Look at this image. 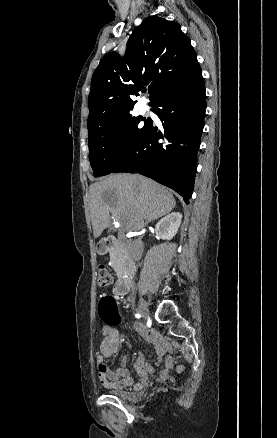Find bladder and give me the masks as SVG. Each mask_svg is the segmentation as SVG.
I'll list each match as a JSON object with an SVG mask.
<instances>
[{
  "instance_id": "bladder-1",
  "label": "bladder",
  "mask_w": 277,
  "mask_h": 438,
  "mask_svg": "<svg viewBox=\"0 0 277 438\" xmlns=\"http://www.w3.org/2000/svg\"><path fill=\"white\" fill-rule=\"evenodd\" d=\"M109 395L113 398H117L120 400H124V399H127L129 397V395L126 391H123V390L117 389V388L110 389Z\"/></svg>"
}]
</instances>
